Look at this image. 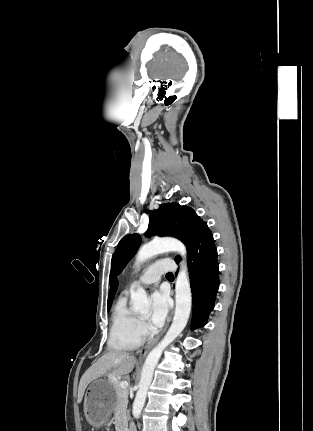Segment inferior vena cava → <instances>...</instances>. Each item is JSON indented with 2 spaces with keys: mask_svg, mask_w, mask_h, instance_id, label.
<instances>
[{
  "mask_svg": "<svg viewBox=\"0 0 313 431\" xmlns=\"http://www.w3.org/2000/svg\"><path fill=\"white\" fill-rule=\"evenodd\" d=\"M129 431H136L135 425L133 423L130 424Z\"/></svg>",
  "mask_w": 313,
  "mask_h": 431,
  "instance_id": "inferior-vena-cava-1",
  "label": "inferior vena cava"
}]
</instances>
